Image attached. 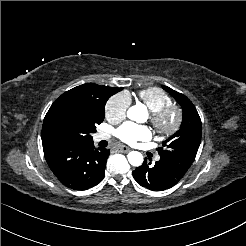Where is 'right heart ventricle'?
Masks as SVG:
<instances>
[{"mask_svg": "<svg viewBox=\"0 0 246 246\" xmlns=\"http://www.w3.org/2000/svg\"><path fill=\"white\" fill-rule=\"evenodd\" d=\"M137 99L150 112H156L163 107L174 104L172 97L159 87H148L140 90L137 93Z\"/></svg>", "mask_w": 246, "mask_h": 246, "instance_id": "1", "label": "right heart ventricle"}]
</instances>
